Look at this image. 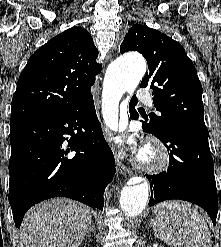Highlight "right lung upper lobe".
Returning <instances> with one entry per match:
<instances>
[{
    "mask_svg": "<svg viewBox=\"0 0 221 247\" xmlns=\"http://www.w3.org/2000/svg\"><path fill=\"white\" fill-rule=\"evenodd\" d=\"M91 35L72 27L40 47L22 71L12 99L10 123L65 114L93 96L102 65Z\"/></svg>",
    "mask_w": 221,
    "mask_h": 247,
    "instance_id": "1",
    "label": "right lung upper lobe"
}]
</instances>
